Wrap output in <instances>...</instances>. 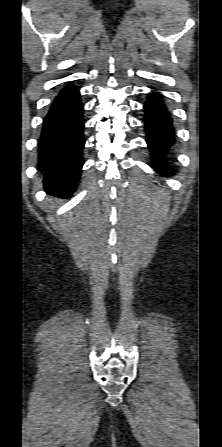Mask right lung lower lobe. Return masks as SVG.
<instances>
[{"instance_id": "98d812e1", "label": "right lung lower lobe", "mask_w": 222, "mask_h": 447, "mask_svg": "<svg viewBox=\"0 0 222 447\" xmlns=\"http://www.w3.org/2000/svg\"><path fill=\"white\" fill-rule=\"evenodd\" d=\"M84 108L78 88L67 85L53 99L43 121L38 158L49 194L68 197L83 165Z\"/></svg>"}]
</instances>
